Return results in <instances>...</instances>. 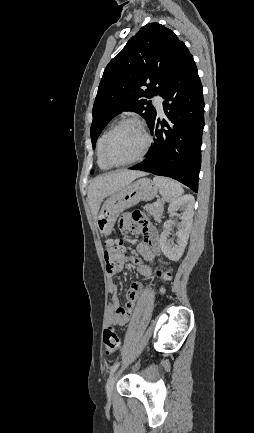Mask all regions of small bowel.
Wrapping results in <instances>:
<instances>
[{
  "instance_id": "obj_1",
  "label": "small bowel",
  "mask_w": 254,
  "mask_h": 433,
  "mask_svg": "<svg viewBox=\"0 0 254 433\" xmlns=\"http://www.w3.org/2000/svg\"><path fill=\"white\" fill-rule=\"evenodd\" d=\"M119 225L124 229L129 228L134 233L142 232L144 234V240L138 245L137 251L144 260L153 264L156 256L159 255L160 252L157 231L150 227L144 219L142 221H132L130 215H124L120 219ZM127 262L134 264V272L147 278L152 276V268L150 265L141 263L140 259L137 257H126L124 255L118 269L109 273L112 275L119 273ZM142 290L143 285L141 283H132L126 293V303L121 305L117 287L113 282H110L109 291L111 300L105 313L106 324L116 326L126 325L131 319L133 308Z\"/></svg>"
}]
</instances>
